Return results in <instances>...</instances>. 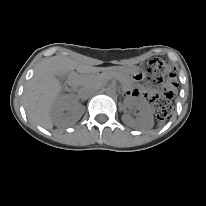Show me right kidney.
<instances>
[{"instance_id":"right-kidney-1","label":"right kidney","mask_w":206,"mask_h":206,"mask_svg":"<svg viewBox=\"0 0 206 206\" xmlns=\"http://www.w3.org/2000/svg\"><path fill=\"white\" fill-rule=\"evenodd\" d=\"M50 116L54 123L76 121L81 117L79 106L71 96L59 98L53 105Z\"/></svg>"}]
</instances>
